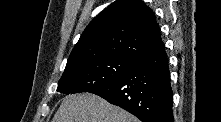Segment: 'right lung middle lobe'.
<instances>
[{
	"instance_id": "1",
	"label": "right lung middle lobe",
	"mask_w": 221,
	"mask_h": 122,
	"mask_svg": "<svg viewBox=\"0 0 221 122\" xmlns=\"http://www.w3.org/2000/svg\"><path fill=\"white\" fill-rule=\"evenodd\" d=\"M135 59L124 56H103L65 69L57 91L64 94L92 92L119 79Z\"/></svg>"
}]
</instances>
